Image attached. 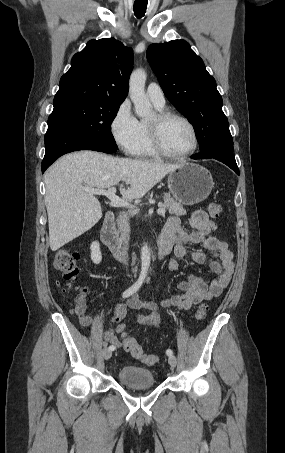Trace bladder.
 Listing matches in <instances>:
<instances>
[{
  "label": "bladder",
  "instance_id": "1",
  "mask_svg": "<svg viewBox=\"0 0 285 453\" xmlns=\"http://www.w3.org/2000/svg\"><path fill=\"white\" fill-rule=\"evenodd\" d=\"M118 381L131 388H148L156 384L154 373L136 365H124L117 372Z\"/></svg>",
  "mask_w": 285,
  "mask_h": 453
}]
</instances>
